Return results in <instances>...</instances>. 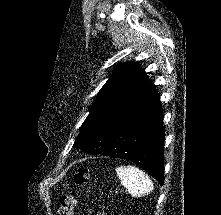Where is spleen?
<instances>
[{"mask_svg":"<svg viewBox=\"0 0 221 215\" xmlns=\"http://www.w3.org/2000/svg\"><path fill=\"white\" fill-rule=\"evenodd\" d=\"M121 184L132 196H143L153 190L150 178L139 168L134 166H119L116 168Z\"/></svg>","mask_w":221,"mask_h":215,"instance_id":"obj_1","label":"spleen"}]
</instances>
